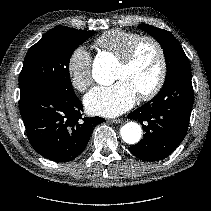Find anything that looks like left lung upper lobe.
<instances>
[{"mask_svg": "<svg viewBox=\"0 0 211 211\" xmlns=\"http://www.w3.org/2000/svg\"><path fill=\"white\" fill-rule=\"evenodd\" d=\"M139 28L148 32L162 46L167 66L166 79L178 72L191 70L180 43L170 32L147 24H141Z\"/></svg>", "mask_w": 211, "mask_h": 211, "instance_id": "obj_1", "label": "left lung upper lobe"}]
</instances>
